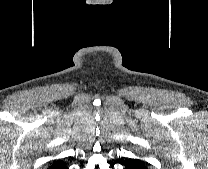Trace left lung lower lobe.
<instances>
[{
	"instance_id": "0a47b994",
	"label": "left lung lower lobe",
	"mask_w": 208,
	"mask_h": 169,
	"mask_svg": "<svg viewBox=\"0 0 208 169\" xmlns=\"http://www.w3.org/2000/svg\"><path fill=\"white\" fill-rule=\"evenodd\" d=\"M124 169H147V167L144 161L139 159H133L125 165Z\"/></svg>"
}]
</instances>
